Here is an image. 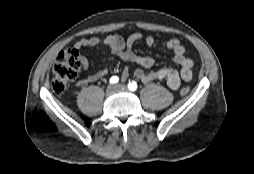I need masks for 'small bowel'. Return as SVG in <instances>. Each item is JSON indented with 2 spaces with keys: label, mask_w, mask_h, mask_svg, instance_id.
Returning <instances> with one entry per match:
<instances>
[{
  "label": "small bowel",
  "mask_w": 254,
  "mask_h": 174,
  "mask_svg": "<svg viewBox=\"0 0 254 174\" xmlns=\"http://www.w3.org/2000/svg\"><path fill=\"white\" fill-rule=\"evenodd\" d=\"M144 36L141 32H134L126 39L119 35H109L105 37H90L82 38L75 43V48L81 49L85 47H106L109 51L123 59L134 64H137L143 68H151L155 61L148 56H141L133 51L134 44L143 39ZM147 46H152L155 42L153 36H146L144 38ZM165 47L173 54V62L179 66V70L174 68H160L149 72L143 69H137L134 71L136 78L144 83H150L155 81H166L168 86L177 90L180 87L181 81L190 82L193 77V61L186 55V49L178 39H170L166 42ZM80 66L87 70L89 67L88 58L79 54ZM129 71L126 69L123 73V78L128 75ZM108 74L106 67L102 68L98 72L88 76L85 79H80L76 82L77 87H83L88 83L95 82Z\"/></svg>",
  "instance_id": "obj_1"
}]
</instances>
